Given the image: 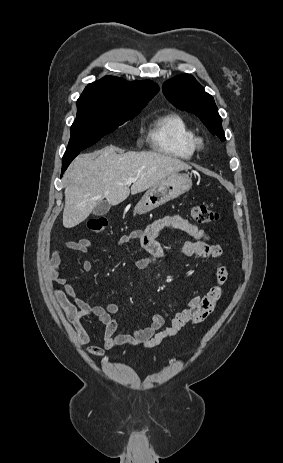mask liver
<instances>
[{
  "mask_svg": "<svg viewBox=\"0 0 283 463\" xmlns=\"http://www.w3.org/2000/svg\"><path fill=\"white\" fill-rule=\"evenodd\" d=\"M117 151V147L107 146L81 154L71 163L65 174V228L83 222L104 198L115 206L130 192L132 195L143 192L179 171L191 169L187 163L157 152ZM131 177L136 181L129 189L127 179Z\"/></svg>",
  "mask_w": 283,
  "mask_h": 463,
  "instance_id": "1",
  "label": "liver"
}]
</instances>
